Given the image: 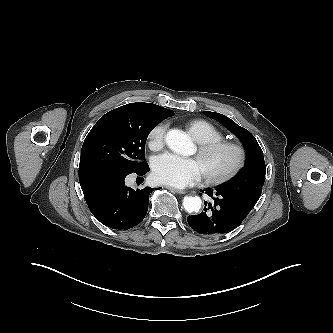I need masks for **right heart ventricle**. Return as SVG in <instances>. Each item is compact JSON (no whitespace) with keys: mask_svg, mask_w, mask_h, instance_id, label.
Listing matches in <instances>:
<instances>
[{"mask_svg":"<svg viewBox=\"0 0 333 333\" xmlns=\"http://www.w3.org/2000/svg\"><path fill=\"white\" fill-rule=\"evenodd\" d=\"M187 129L199 144L220 141L224 138L220 129L211 122L203 119L190 121L187 124Z\"/></svg>","mask_w":333,"mask_h":333,"instance_id":"obj_1","label":"right heart ventricle"}]
</instances>
